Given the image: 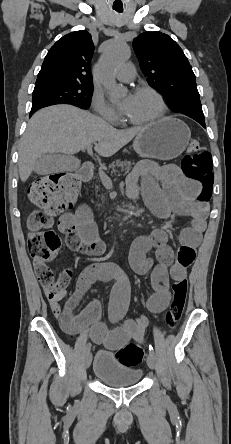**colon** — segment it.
<instances>
[{"label":"colon","instance_id":"1","mask_svg":"<svg viewBox=\"0 0 231 444\" xmlns=\"http://www.w3.org/2000/svg\"><path fill=\"white\" fill-rule=\"evenodd\" d=\"M184 175L202 185L199 201L206 203L211 198L213 183L211 154L197 141H192L182 160ZM80 182L73 174L55 173L34 181L28 191L30 201L41 210L33 212L27 223L28 249L34 263L41 266L37 273L42 288L51 293H58L68 284L71 271L65 270L57 280L46 265L55 258L60 250L61 241L51 230H48L53 218L74 204ZM173 298L164 322L167 330L176 327L181 319L185 306L188 283L186 278L176 279L172 285ZM143 348L138 342H132L117 351L119 359L128 365H137L142 361Z\"/></svg>","mask_w":231,"mask_h":444}]
</instances>
